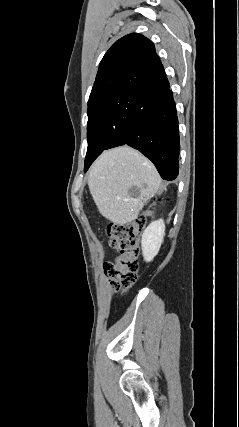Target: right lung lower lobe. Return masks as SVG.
Instances as JSON below:
<instances>
[{
  "label": "right lung lower lobe",
  "mask_w": 239,
  "mask_h": 427,
  "mask_svg": "<svg viewBox=\"0 0 239 427\" xmlns=\"http://www.w3.org/2000/svg\"><path fill=\"white\" fill-rule=\"evenodd\" d=\"M170 87L144 97L132 119L127 144L144 154L164 180H174L179 172V128Z\"/></svg>",
  "instance_id": "obj_1"
}]
</instances>
